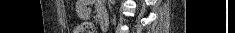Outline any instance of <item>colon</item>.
Masks as SVG:
<instances>
[{
    "label": "colon",
    "instance_id": "obj_1",
    "mask_svg": "<svg viewBox=\"0 0 235 33\" xmlns=\"http://www.w3.org/2000/svg\"><path fill=\"white\" fill-rule=\"evenodd\" d=\"M92 26L88 22H82L74 26L73 33H92Z\"/></svg>",
    "mask_w": 235,
    "mask_h": 33
}]
</instances>
